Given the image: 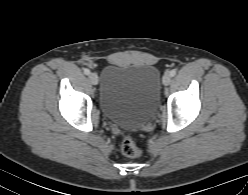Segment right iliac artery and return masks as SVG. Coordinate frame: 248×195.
<instances>
[{
  "label": "right iliac artery",
  "instance_id": "1",
  "mask_svg": "<svg viewBox=\"0 0 248 195\" xmlns=\"http://www.w3.org/2000/svg\"><path fill=\"white\" fill-rule=\"evenodd\" d=\"M84 74L85 75H89L90 74V70L89 69H84Z\"/></svg>",
  "mask_w": 248,
  "mask_h": 195
}]
</instances>
